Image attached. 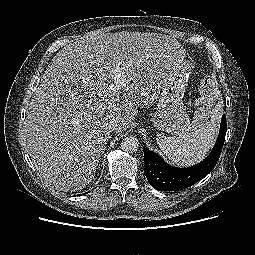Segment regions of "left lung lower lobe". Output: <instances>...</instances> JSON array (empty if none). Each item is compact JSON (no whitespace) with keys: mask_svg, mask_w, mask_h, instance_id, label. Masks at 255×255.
Wrapping results in <instances>:
<instances>
[{"mask_svg":"<svg viewBox=\"0 0 255 255\" xmlns=\"http://www.w3.org/2000/svg\"><path fill=\"white\" fill-rule=\"evenodd\" d=\"M227 123L222 116L217 141L209 155L200 163L177 168L166 163L158 154L144 148L145 176L151 186L159 191H176L188 188L204 178L215 167L225 141Z\"/></svg>","mask_w":255,"mask_h":255,"instance_id":"obj_1","label":"left lung lower lobe"}]
</instances>
